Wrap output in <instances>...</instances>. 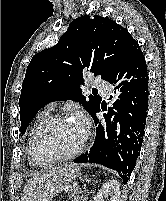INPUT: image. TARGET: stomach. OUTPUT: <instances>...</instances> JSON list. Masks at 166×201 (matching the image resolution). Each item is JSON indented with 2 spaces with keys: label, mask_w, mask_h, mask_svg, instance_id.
I'll use <instances>...</instances> for the list:
<instances>
[{
  "label": "stomach",
  "mask_w": 166,
  "mask_h": 201,
  "mask_svg": "<svg viewBox=\"0 0 166 201\" xmlns=\"http://www.w3.org/2000/svg\"><path fill=\"white\" fill-rule=\"evenodd\" d=\"M79 175V168L75 165H67L57 169L55 173L37 186L29 201H52L53 197L61 193L74 182Z\"/></svg>",
  "instance_id": "obj_1"
}]
</instances>
